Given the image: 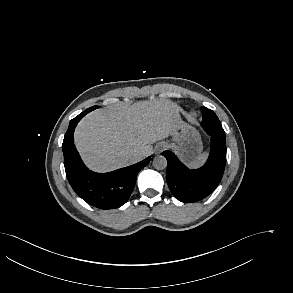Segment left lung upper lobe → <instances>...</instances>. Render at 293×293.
<instances>
[{
  "label": "left lung upper lobe",
  "mask_w": 293,
  "mask_h": 293,
  "mask_svg": "<svg viewBox=\"0 0 293 293\" xmlns=\"http://www.w3.org/2000/svg\"><path fill=\"white\" fill-rule=\"evenodd\" d=\"M201 111L203 114V120H202L203 123L212 126L216 130L222 128L217 115L212 110L206 107H201Z\"/></svg>",
  "instance_id": "left-lung-upper-lobe-1"
}]
</instances>
